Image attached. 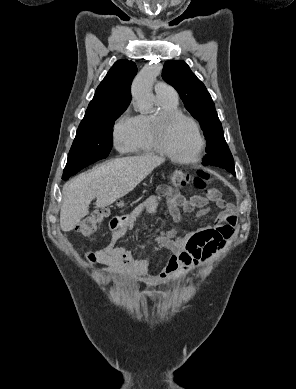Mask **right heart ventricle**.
Wrapping results in <instances>:
<instances>
[{
  "instance_id": "1",
  "label": "right heart ventricle",
  "mask_w": 296,
  "mask_h": 389,
  "mask_svg": "<svg viewBox=\"0 0 296 389\" xmlns=\"http://www.w3.org/2000/svg\"><path fill=\"white\" fill-rule=\"evenodd\" d=\"M159 112L154 115L140 114L134 117L133 134L129 151L135 154H158L159 150L153 137V121L164 111H177L178 98L157 95Z\"/></svg>"
}]
</instances>
